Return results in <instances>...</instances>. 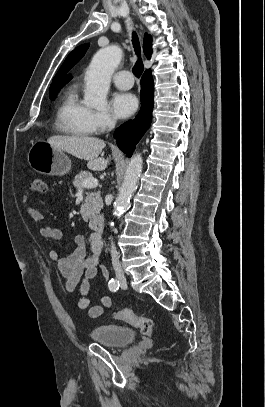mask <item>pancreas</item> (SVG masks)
<instances>
[{"label": "pancreas", "mask_w": 265, "mask_h": 407, "mask_svg": "<svg viewBox=\"0 0 265 407\" xmlns=\"http://www.w3.org/2000/svg\"><path fill=\"white\" fill-rule=\"evenodd\" d=\"M93 178L92 174L88 171H82L75 176L73 185L77 190L85 191L82 186L86 179ZM85 203L81 207V213L84 219H91L94 215L98 214L103 207V201L100 192H85Z\"/></svg>", "instance_id": "obj_1"}]
</instances>
